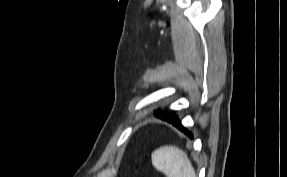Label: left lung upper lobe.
I'll use <instances>...</instances> for the list:
<instances>
[{"mask_svg":"<svg viewBox=\"0 0 287 177\" xmlns=\"http://www.w3.org/2000/svg\"><path fill=\"white\" fill-rule=\"evenodd\" d=\"M155 115L157 116V117H164V116H171V114L170 113H167V112H162V111H160V110H158V111H156L155 112Z\"/></svg>","mask_w":287,"mask_h":177,"instance_id":"5c2ea615","label":"left lung upper lobe"}]
</instances>
